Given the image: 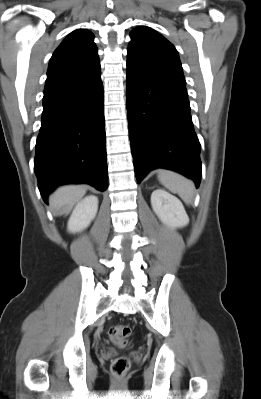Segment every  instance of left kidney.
<instances>
[{
	"label": "left kidney",
	"mask_w": 261,
	"mask_h": 399,
	"mask_svg": "<svg viewBox=\"0 0 261 399\" xmlns=\"http://www.w3.org/2000/svg\"><path fill=\"white\" fill-rule=\"evenodd\" d=\"M151 206L158 218L171 228H182L189 223L182 202L163 189L153 191Z\"/></svg>",
	"instance_id": "1"
}]
</instances>
